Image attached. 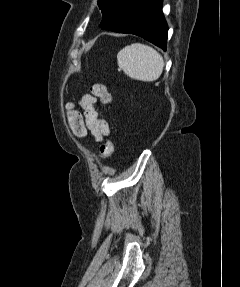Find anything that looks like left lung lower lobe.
Instances as JSON below:
<instances>
[{"label": "left lung lower lobe", "mask_w": 240, "mask_h": 287, "mask_svg": "<svg viewBox=\"0 0 240 287\" xmlns=\"http://www.w3.org/2000/svg\"><path fill=\"white\" fill-rule=\"evenodd\" d=\"M102 14V29L135 34L166 50L162 0H108Z\"/></svg>", "instance_id": "left-lung-lower-lobe-1"}]
</instances>
